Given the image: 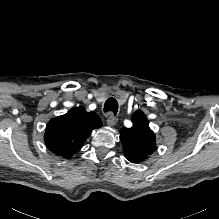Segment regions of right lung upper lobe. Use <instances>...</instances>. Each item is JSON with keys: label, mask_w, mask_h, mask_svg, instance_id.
I'll return each instance as SVG.
<instances>
[{"label": "right lung upper lobe", "mask_w": 219, "mask_h": 219, "mask_svg": "<svg viewBox=\"0 0 219 219\" xmlns=\"http://www.w3.org/2000/svg\"><path fill=\"white\" fill-rule=\"evenodd\" d=\"M101 126L102 121L96 113L74 107L49 121L44 141L52 153L68 159L82 148L92 130Z\"/></svg>", "instance_id": "1"}]
</instances>
